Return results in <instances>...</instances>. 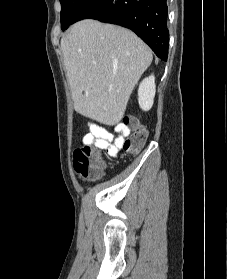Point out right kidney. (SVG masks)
I'll use <instances>...</instances> for the list:
<instances>
[{"instance_id": "right-kidney-1", "label": "right kidney", "mask_w": 227, "mask_h": 279, "mask_svg": "<svg viewBox=\"0 0 227 279\" xmlns=\"http://www.w3.org/2000/svg\"><path fill=\"white\" fill-rule=\"evenodd\" d=\"M155 77L151 75L145 78L139 85L138 102L142 110L148 111L151 109L155 96Z\"/></svg>"}]
</instances>
